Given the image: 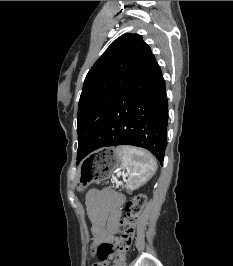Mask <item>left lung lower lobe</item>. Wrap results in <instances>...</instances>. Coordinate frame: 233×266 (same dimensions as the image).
<instances>
[{
  "label": "left lung lower lobe",
  "instance_id": "obj_1",
  "mask_svg": "<svg viewBox=\"0 0 233 266\" xmlns=\"http://www.w3.org/2000/svg\"><path fill=\"white\" fill-rule=\"evenodd\" d=\"M168 100L165 80L152 55L129 88L115 102L80 162L96 149L134 145L151 151L162 165L167 146Z\"/></svg>",
  "mask_w": 233,
  "mask_h": 266
}]
</instances>
